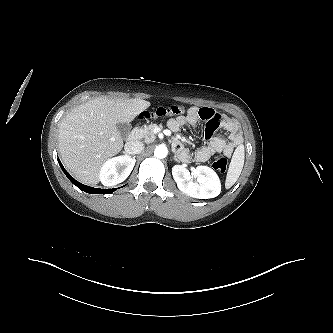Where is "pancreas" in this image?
Instances as JSON below:
<instances>
[{
  "mask_svg": "<svg viewBox=\"0 0 333 333\" xmlns=\"http://www.w3.org/2000/svg\"><path fill=\"white\" fill-rule=\"evenodd\" d=\"M156 126V124H150L148 126H144L143 128L137 129L136 138L144 139L146 143L153 142L156 138L154 133V129Z\"/></svg>",
  "mask_w": 333,
  "mask_h": 333,
  "instance_id": "obj_1",
  "label": "pancreas"
}]
</instances>
